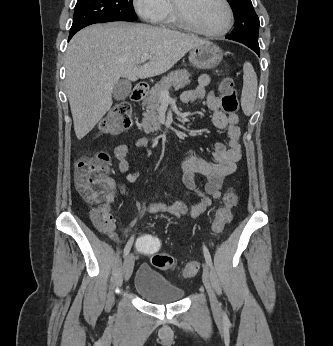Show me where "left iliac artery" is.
<instances>
[{
	"instance_id": "left-iliac-artery-1",
	"label": "left iliac artery",
	"mask_w": 333,
	"mask_h": 346,
	"mask_svg": "<svg viewBox=\"0 0 333 346\" xmlns=\"http://www.w3.org/2000/svg\"><path fill=\"white\" fill-rule=\"evenodd\" d=\"M203 253H204L206 263L208 264V266L212 267L211 255H210L209 250L207 249V247L205 245L203 246ZM224 318L228 319L226 313H224Z\"/></svg>"
}]
</instances>
